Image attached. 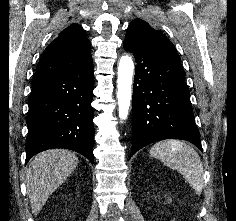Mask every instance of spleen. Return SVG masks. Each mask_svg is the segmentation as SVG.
Wrapping results in <instances>:
<instances>
[{"instance_id":"1","label":"spleen","mask_w":236,"mask_h":221,"mask_svg":"<svg viewBox=\"0 0 236 221\" xmlns=\"http://www.w3.org/2000/svg\"><path fill=\"white\" fill-rule=\"evenodd\" d=\"M150 155L179 171L196 192L202 191L203 164L198 153L190 145L175 139L162 140L152 146Z\"/></svg>"}]
</instances>
